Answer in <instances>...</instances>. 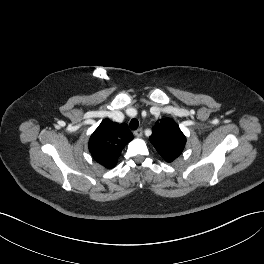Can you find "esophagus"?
I'll use <instances>...</instances> for the list:
<instances>
[{
  "mask_svg": "<svg viewBox=\"0 0 264 264\" xmlns=\"http://www.w3.org/2000/svg\"><path fill=\"white\" fill-rule=\"evenodd\" d=\"M134 135H135L136 137H138V138L142 137V135H143V130H142V128H139V129L135 130V131H134Z\"/></svg>",
  "mask_w": 264,
  "mask_h": 264,
  "instance_id": "esophagus-1",
  "label": "esophagus"
}]
</instances>
